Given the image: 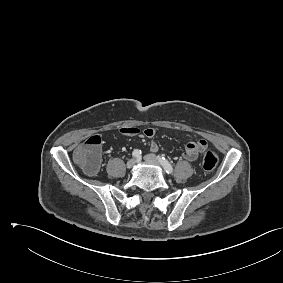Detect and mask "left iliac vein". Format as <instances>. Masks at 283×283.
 Masks as SVG:
<instances>
[{
  "label": "left iliac vein",
  "mask_w": 283,
  "mask_h": 283,
  "mask_svg": "<svg viewBox=\"0 0 283 283\" xmlns=\"http://www.w3.org/2000/svg\"><path fill=\"white\" fill-rule=\"evenodd\" d=\"M144 160L146 162L152 163V164H156V165H160V161L156 158L155 155L153 154H147L144 156Z\"/></svg>",
  "instance_id": "4c4485c4"
}]
</instances>
